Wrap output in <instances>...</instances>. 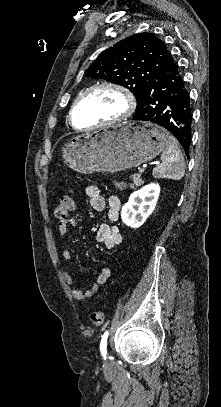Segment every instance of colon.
I'll use <instances>...</instances> for the list:
<instances>
[{
    "label": "colon",
    "mask_w": 221,
    "mask_h": 407,
    "mask_svg": "<svg viewBox=\"0 0 221 407\" xmlns=\"http://www.w3.org/2000/svg\"><path fill=\"white\" fill-rule=\"evenodd\" d=\"M119 185V184H118ZM75 202L72 194L63 196L54 209V215L58 219H68L74 210ZM90 321L94 326H100L104 322L102 310L93 311Z\"/></svg>",
    "instance_id": "1"
}]
</instances>
